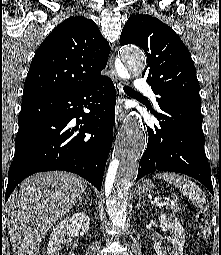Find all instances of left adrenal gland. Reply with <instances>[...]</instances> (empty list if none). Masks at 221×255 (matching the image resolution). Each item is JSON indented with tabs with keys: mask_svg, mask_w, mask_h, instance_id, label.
<instances>
[{
	"mask_svg": "<svg viewBox=\"0 0 221 255\" xmlns=\"http://www.w3.org/2000/svg\"><path fill=\"white\" fill-rule=\"evenodd\" d=\"M145 203V200H141V197H139V200H138V202H137V207L139 208L142 204H144Z\"/></svg>",
	"mask_w": 221,
	"mask_h": 255,
	"instance_id": "left-adrenal-gland-1",
	"label": "left adrenal gland"
}]
</instances>
